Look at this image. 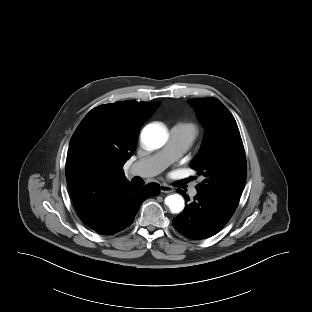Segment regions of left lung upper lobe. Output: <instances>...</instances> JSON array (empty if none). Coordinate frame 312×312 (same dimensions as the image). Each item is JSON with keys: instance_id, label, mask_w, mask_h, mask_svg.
Returning a JSON list of instances; mask_svg holds the SVG:
<instances>
[{"instance_id": "left-lung-upper-lobe-1", "label": "left lung upper lobe", "mask_w": 312, "mask_h": 312, "mask_svg": "<svg viewBox=\"0 0 312 312\" xmlns=\"http://www.w3.org/2000/svg\"><path fill=\"white\" fill-rule=\"evenodd\" d=\"M204 123L203 146L191 162L205 177L195 188L236 209L247 177V165L237 123L229 110L214 98L189 100Z\"/></svg>"}]
</instances>
